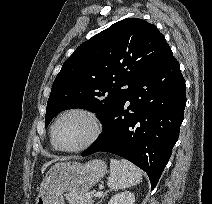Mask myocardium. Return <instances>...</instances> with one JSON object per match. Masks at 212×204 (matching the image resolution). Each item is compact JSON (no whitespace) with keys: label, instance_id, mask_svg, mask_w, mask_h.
Masks as SVG:
<instances>
[{"label":"myocardium","instance_id":"1","mask_svg":"<svg viewBox=\"0 0 212 204\" xmlns=\"http://www.w3.org/2000/svg\"><path fill=\"white\" fill-rule=\"evenodd\" d=\"M69 115H80V116L84 117L89 122L90 127H91L90 135L88 136V138L81 145H79L77 147H73V148L62 147L56 139V132H55L58 123L63 118H65L66 116H69ZM102 129H103V127H102L101 120L95 112L85 109V108H71V109H67V110L63 111L62 113H60L58 115V117L55 119V121L51 127V140H52V143L54 144V146L60 151L69 152V153L81 152V151L89 148L96 142V140L99 138V136L102 133Z\"/></svg>","mask_w":212,"mask_h":204}]
</instances>
